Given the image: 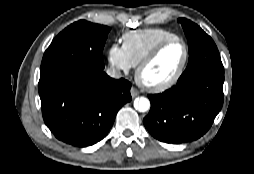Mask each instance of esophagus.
I'll list each match as a JSON object with an SVG mask.
<instances>
[{
  "label": "esophagus",
  "instance_id": "esophagus-1",
  "mask_svg": "<svg viewBox=\"0 0 254 174\" xmlns=\"http://www.w3.org/2000/svg\"><path fill=\"white\" fill-rule=\"evenodd\" d=\"M130 92L133 98L139 95V91L135 87H132Z\"/></svg>",
  "mask_w": 254,
  "mask_h": 174
}]
</instances>
